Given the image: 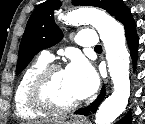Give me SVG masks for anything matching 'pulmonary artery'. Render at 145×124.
I'll list each match as a JSON object with an SVG mask.
<instances>
[{"label":"pulmonary artery","instance_id":"obj_1","mask_svg":"<svg viewBox=\"0 0 145 124\" xmlns=\"http://www.w3.org/2000/svg\"><path fill=\"white\" fill-rule=\"evenodd\" d=\"M76 42L82 47H96L98 45L96 31L94 29L81 30L76 37ZM40 57L47 61L53 59V55L48 50H43Z\"/></svg>","mask_w":145,"mask_h":124}]
</instances>
